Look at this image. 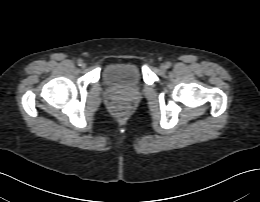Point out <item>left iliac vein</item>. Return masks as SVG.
I'll return each instance as SVG.
<instances>
[{
    "label": "left iliac vein",
    "instance_id": "1",
    "mask_svg": "<svg viewBox=\"0 0 260 202\" xmlns=\"http://www.w3.org/2000/svg\"><path fill=\"white\" fill-rule=\"evenodd\" d=\"M159 68H160L161 71H165L166 70V66L164 64H161Z\"/></svg>",
    "mask_w": 260,
    "mask_h": 202
}]
</instances>
